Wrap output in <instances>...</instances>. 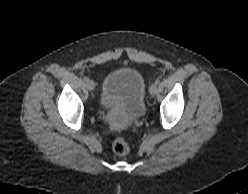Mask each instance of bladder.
Instances as JSON below:
<instances>
[{"mask_svg": "<svg viewBox=\"0 0 248 194\" xmlns=\"http://www.w3.org/2000/svg\"><path fill=\"white\" fill-rule=\"evenodd\" d=\"M144 94L142 73L135 67L122 66L113 69L104 78L99 104L104 110L123 104L130 118H139L146 108Z\"/></svg>", "mask_w": 248, "mask_h": 194, "instance_id": "1", "label": "bladder"}]
</instances>
